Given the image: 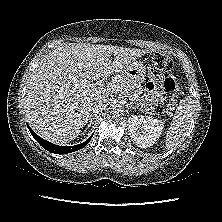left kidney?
<instances>
[{"label":"left kidney","mask_w":222,"mask_h":222,"mask_svg":"<svg viewBox=\"0 0 222 222\" xmlns=\"http://www.w3.org/2000/svg\"><path fill=\"white\" fill-rule=\"evenodd\" d=\"M164 122L146 115L128 118V130L132 141L141 148H150L159 139Z\"/></svg>","instance_id":"left-kidney-1"}]
</instances>
